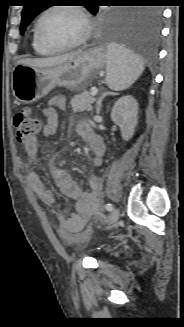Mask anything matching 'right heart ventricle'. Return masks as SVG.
Masks as SVG:
<instances>
[{
    "instance_id": "e07e8e85",
    "label": "right heart ventricle",
    "mask_w": 184,
    "mask_h": 327,
    "mask_svg": "<svg viewBox=\"0 0 184 327\" xmlns=\"http://www.w3.org/2000/svg\"><path fill=\"white\" fill-rule=\"evenodd\" d=\"M32 48L34 50V52L38 55H41V56H48V55H51L53 54L54 52L44 48L36 39V36H35V31L33 30V33H32Z\"/></svg>"
}]
</instances>
